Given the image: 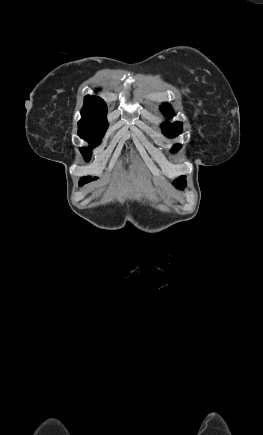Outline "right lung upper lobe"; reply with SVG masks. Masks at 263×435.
Listing matches in <instances>:
<instances>
[{
    "label": "right lung upper lobe",
    "instance_id": "cb5924a9",
    "mask_svg": "<svg viewBox=\"0 0 263 435\" xmlns=\"http://www.w3.org/2000/svg\"><path fill=\"white\" fill-rule=\"evenodd\" d=\"M107 106L105 102L97 96H85L84 106L81 110L82 119L78 125L98 126L107 128L106 120Z\"/></svg>",
    "mask_w": 263,
    "mask_h": 435
}]
</instances>
